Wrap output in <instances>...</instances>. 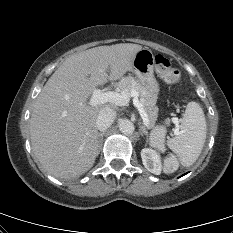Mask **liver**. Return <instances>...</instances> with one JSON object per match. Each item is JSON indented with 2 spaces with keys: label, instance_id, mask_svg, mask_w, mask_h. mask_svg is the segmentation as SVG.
Here are the masks:
<instances>
[{
  "label": "liver",
  "instance_id": "6515ba94",
  "mask_svg": "<svg viewBox=\"0 0 233 233\" xmlns=\"http://www.w3.org/2000/svg\"><path fill=\"white\" fill-rule=\"evenodd\" d=\"M141 49L132 43L91 48L68 57L48 79L34 104L30 137L35 156L54 177L73 179L93 166L99 147L97 116L116 106H92L88 99L97 86L131 71Z\"/></svg>",
  "mask_w": 233,
  "mask_h": 233
}]
</instances>
